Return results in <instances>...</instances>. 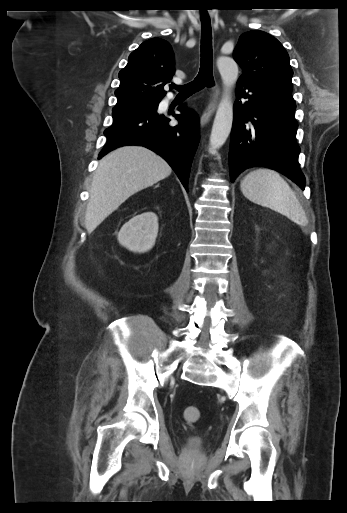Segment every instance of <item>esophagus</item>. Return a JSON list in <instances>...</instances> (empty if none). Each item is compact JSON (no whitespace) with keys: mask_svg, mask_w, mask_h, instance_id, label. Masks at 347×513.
Returning a JSON list of instances; mask_svg holds the SVG:
<instances>
[{"mask_svg":"<svg viewBox=\"0 0 347 513\" xmlns=\"http://www.w3.org/2000/svg\"><path fill=\"white\" fill-rule=\"evenodd\" d=\"M220 89L217 84L208 90L207 102L201 116V125L204 126L215 112L218 104Z\"/></svg>","mask_w":347,"mask_h":513,"instance_id":"esophagus-1","label":"esophagus"}]
</instances>
